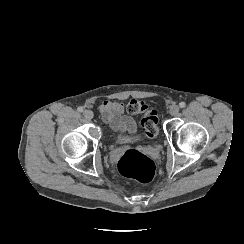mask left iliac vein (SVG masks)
<instances>
[{
	"label": "left iliac vein",
	"instance_id": "left-iliac-vein-1",
	"mask_svg": "<svg viewBox=\"0 0 244 244\" xmlns=\"http://www.w3.org/2000/svg\"><path fill=\"white\" fill-rule=\"evenodd\" d=\"M169 112L171 115L175 116L179 112V107L177 105H173L171 106Z\"/></svg>",
	"mask_w": 244,
	"mask_h": 244
}]
</instances>
